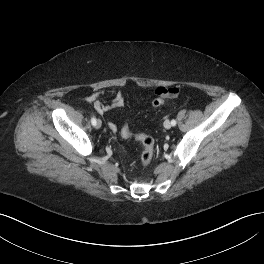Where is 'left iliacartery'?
<instances>
[{"label": "left iliac artery", "instance_id": "44dca946", "mask_svg": "<svg viewBox=\"0 0 264 264\" xmlns=\"http://www.w3.org/2000/svg\"><path fill=\"white\" fill-rule=\"evenodd\" d=\"M176 123H177V122H176V120H174V119L171 121L172 126H175Z\"/></svg>", "mask_w": 264, "mask_h": 264}]
</instances>
